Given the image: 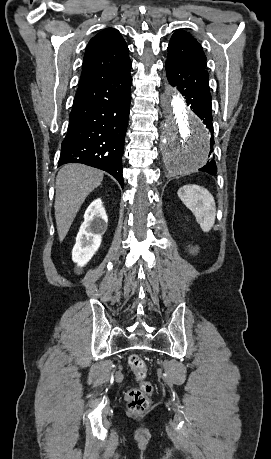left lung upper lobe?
<instances>
[{"instance_id": "5c2ea615", "label": "left lung upper lobe", "mask_w": 271, "mask_h": 459, "mask_svg": "<svg viewBox=\"0 0 271 459\" xmlns=\"http://www.w3.org/2000/svg\"><path fill=\"white\" fill-rule=\"evenodd\" d=\"M167 61L191 68L206 69L202 46L188 32L176 31L168 45Z\"/></svg>"}]
</instances>
